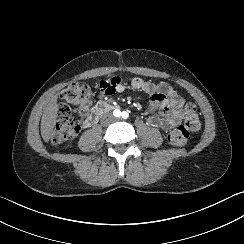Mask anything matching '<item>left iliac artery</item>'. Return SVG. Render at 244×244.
<instances>
[{
  "label": "left iliac artery",
  "mask_w": 244,
  "mask_h": 244,
  "mask_svg": "<svg viewBox=\"0 0 244 244\" xmlns=\"http://www.w3.org/2000/svg\"><path fill=\"white\" fill-rule=\"evenodd\" d=\"M121 116H122V118L126 119L129 117V113L126 111H123Z\"/></svg>",
  "instance_id": "left-iliac-artery-1"
}]
</instances>
